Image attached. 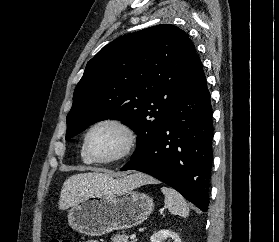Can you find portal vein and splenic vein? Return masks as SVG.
Listing matches in <instances>:
<instances>
[{
	"label": "portal vein and splenic vein",
	"instance_id": "portal-vein-and-splenic-vein-1",
	"mask_svg": "<svg viewBox=\"0 0 279 242\" xmlns=\"http://www.w3.org/2000/svg\"><path fill=\"white\" fill-rule=\"evenodd\" d=\"M136 235L135 234H131L130 239H135Z\"/></svg>",
	"mask_w": 279,
	"mask_h": 242
}]
</instances>
